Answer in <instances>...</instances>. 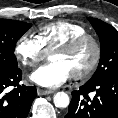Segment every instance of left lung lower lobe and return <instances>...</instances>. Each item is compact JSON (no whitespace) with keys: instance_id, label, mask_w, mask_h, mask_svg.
<instances>
[{"instance_id":"left-lung-lower-lobe-1","label":"left lung lower lobe","mask_w":118,"mask_h":118,"mask_svg":"<svg viewBox=\"0 0 118 118\" xmlns=\"http://www.w3.org/2000/svg\"><path fill=\"white\" fill-rule=\"evenodd\" d=\"M90 92L95 93L93 98L89 97ZM65 118H118V75L86 82L73 91Z\"/></svg>"}]
</instances>
